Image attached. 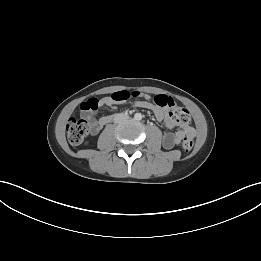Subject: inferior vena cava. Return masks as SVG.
Wrapping results in <instances>:
<instances>
[{
	"label": "inferior vena cava",
	"mask_w": 261,
	"mask_h": 261,
	"mask_svg": "<svg viewBox=\"0 0 261 261\" xmlns=\"http://www.w3.org/2000/svg\"><path fill=\"white\" fill-rule=\"evenodd\" d=\"M127 118H128V116L124 115V114L118 116V120H125Z\"/></svg>",
	"instance_id": "inferior-vena-cava-1"
}]
</instances>
